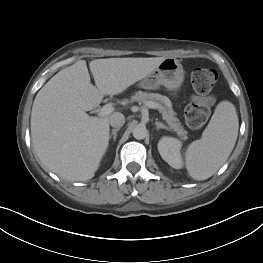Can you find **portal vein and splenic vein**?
I'll return each instance as SVG.
<instances>
[{
  "mask_svg": "<svg viewBox=\"0 0 263 263\" xmlns=\"http://www.w3.org/2000/svg\"><path fill=\"white\" fill-rule=\"evenodd\" d=\"M145 105L150 109L159 108V104L151 101L146 102ZM113 111H114V107L112 106V104H106L101 109L98 110L97 114L98 116L103 117L109 115Z\"/></svg>",
  "mask_w": 263,
  "mask_h": 263,
  "instance_id": "18ae733b",
  "label": "portal vein and splenic vein"
}]
</instances>
